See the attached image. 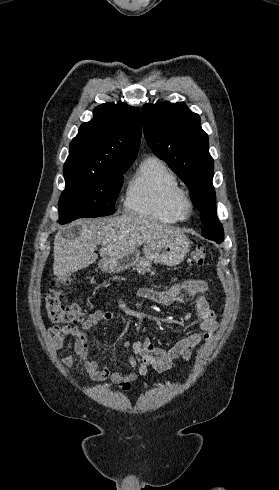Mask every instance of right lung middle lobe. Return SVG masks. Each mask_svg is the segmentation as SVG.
Returning <instances> with one entry per match:
<instances>
[{"instance_id": "right-lung-middle-lobe-1", "label": "right lung middle lobe", "mask_w": 279, "mask_h": 490, "mask_svg": "<svg viewBox=\"0 0 279 490\" xmlns=\"http://www.w3.org/2000/svg\"><path fill=\"white\" fill-rule=\"evenodd\" d=\"M131 165L103 172L64 171L66 188L58 203L59 223L78 218L112 215L123 183V173Z\"/></svg>"}]
</instances>
